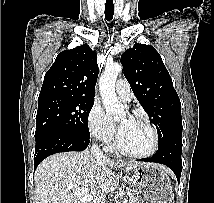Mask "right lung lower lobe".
<instances>
[{"label":"right lung lower lobe","mask_w":214,"mask_h":203,"mask_svg":"<svg viewBox=\"0 0 214 203\" xmlns=\"http://www.w3.org/2000/svg\"><path fill=\"white\" fill-rule=\"evenodd\" d=\"M34 170L46 157L67 151H83L90 140L64 132H47L36 138Z\"/></svg>","instance_id":"right-lung-lower-lobe-1"}]
</instances>
